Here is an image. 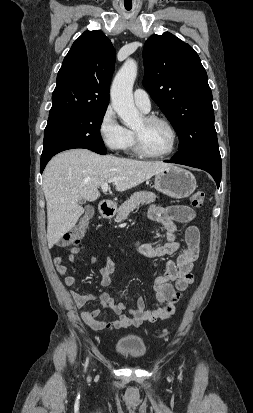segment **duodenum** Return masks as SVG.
Wrapping results in <instances>:
<instances>
[{
    "label": "duodenum",
    "instance_id": "duodenum-1",
    "mask_svg": "<svg viewBox=\"0 0 253 413\" xmlns=\"http://www.w3.org/2000/svg\"><path fill=\"white\" fill-rule=\"evenodd\" d=\"M99 212L103 218H110L114 214V207L110 202L102 201L99 204Z\"/></svg>",
    "mask_w": 253,
    "mask_h": 413
}]
</instances>
